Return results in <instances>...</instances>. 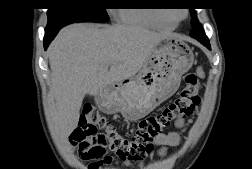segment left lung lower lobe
<instances>
[{"instance_id":"left-lung-lower-lobe-1","label":"left lung lower lobe","mask_w":252,"mask_h":169,"mask_svg":"<svg viewBox=\"0 0 252 169\" xmlns=\"http://www.w3.org/2000/svg\"><path fill=\"white\" fill-rule=\"evenodd\" d=\"M190 36L193 37V38H195V39H197L199 42H201L203 45H205L208 49H211L210 48L209 40L206 37L204 31H197L194 34L190 33Z\"/></svg>"}]
</instances>
